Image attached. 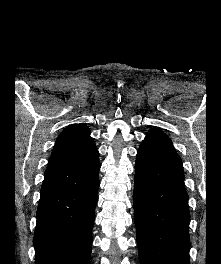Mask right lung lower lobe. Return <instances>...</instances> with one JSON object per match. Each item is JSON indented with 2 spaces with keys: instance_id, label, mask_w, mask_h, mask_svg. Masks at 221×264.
Here are the masks:
<instances>
[{
  "instance_id": "obj_1",
  "label": "right lung lower lobe",
  "mask_w": 221,
  "mask_h": 264,
  "mask_svg": "<svg viewBox=\"0 0 221 264\" xmlns=\"http://www.w3.org/2000/svg\"><path fill=\"white\" fill-rule=\"evenodd\" d=\"M99 153L48 166L34 234L35 264H90Z\"/></svg>"
}]
</instances>
